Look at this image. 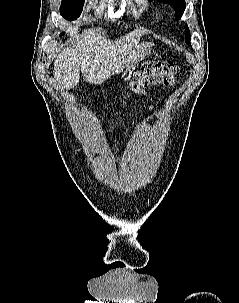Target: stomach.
Here are the masks:
<instances>
[{
    "instance_id": "0dacf381",
    "label": "stomach",
    "mask_w": 239,
    "mask_h": 303,
    "mask_svg": "<svg viewBox=\"0 0 239 303\" xmlns=\"http://www.w3.org/2000/svg\"><path fill=\"white\" fill-rule=\"evenodd\" d=\"M150 52V45L148 43H141L137 48L133 49L127 56L124 69L129 70L133 68L143 57Z\"/></svg>"
}]
</instances>
